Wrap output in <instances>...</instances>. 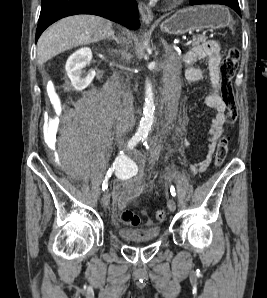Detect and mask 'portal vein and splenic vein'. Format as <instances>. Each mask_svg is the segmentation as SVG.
<instances>
[{
  "label": "portal vein and splenic vein",
  "mask_w": 267,
  "mask_h": 298,
  "mask_svg": "<svg viewBox=\"0 0 267 298\" xmlns=\"http://www.w3.org/2000/svg\"><path fill=\"white\" fill-rule=\"evenodd\" d=\"M192 43V41H188V42H186V46H188V45H190Z\"/></svg>",
  "instance_id": "1"
}]
</instances>
